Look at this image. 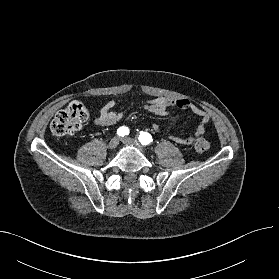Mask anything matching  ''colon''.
<instances>
[{
    "label": "colon",
    "mask_w": 279,
    "mask_h": 279,
    "mask_svg": "<svg viewBox=\"0 0 279 279\" xmlns=\"http://www.w3.org/2000/svg\"><path fill=\"white\" fill-rule=\"evenodd\" d=\"M88 118L86 107L81 101H72L65 109L59 111L53 118L50 129L56 136L73 135L78 132ZM197 152H205L209 142L198 138L194 145Z\"/></svg>",
    "instance_id": "1"
}]
</instances>
